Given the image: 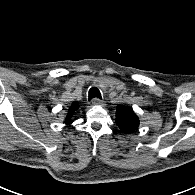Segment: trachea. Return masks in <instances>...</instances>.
Wrapping results in <instances>:
<instances>
[{
  "label": "trachea",
  "instance_id": "trachea-1",
  "mask_svg": "<svg viewBox=\"0 0 195 195\" xmlns=\"http://www.w3.org/2000/svg\"><path fill=\"white\" fill-rule=\"evenodd\" d=\"M93 98L101 99V93H100L99 89L96 87H92L89 90V100H91Z\"/></svg>",
  "mask_w": 195,
  "mask_h": 195
}]
</instances>
